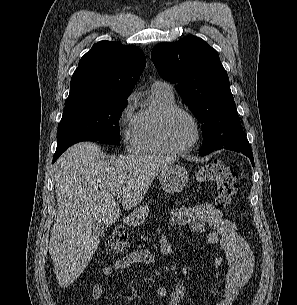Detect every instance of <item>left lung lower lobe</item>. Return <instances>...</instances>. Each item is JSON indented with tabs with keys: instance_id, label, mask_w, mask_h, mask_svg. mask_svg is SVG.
Listing matches in <instances>:
<instances>
[{
	"instance_id": "obj_1",
	"label": "left lung lower lobe",
	"mask_w": 297,
	"mask_h": 305,
	"mask_svg": "<svg viewBox=\"0 0 297 305\" xmlns=\"http://www.w3.org/2000/svg\"><path fill=\"white\" fill-rule=\"evenodd\" d=\"M222 148L232 150V151H235V152H239V153H242V154L246 155L250 159L252 165L254 166L253 154H252V150H251L249 144L248 145L224 146ZM200 155H206V154H200Z\"/></svg>"
}]
</instances>
